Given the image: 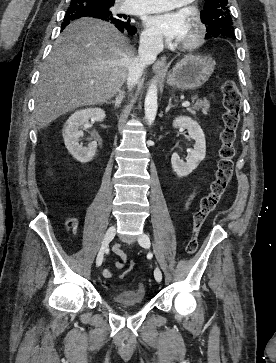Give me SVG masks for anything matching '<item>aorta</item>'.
<instances>
[{
    "label": "aorta",
    "mask_w": 276,
    "mask_h": 363,
    "mask_svg": "<svg viewBox=\"0 0 276 363\" xmlns=\"http://www.w3.org/2000/svg\"><path fill=\"white\" fill-rule=\"evenodd\" d=\"M145 118L148 122V125H152V123L155 120L156 113H157V86L156 84L152 83L149 86V89L147 91L146 97H145Z\"/></svg>",
    "instance_id": "762f6f07"
}]
</instances>
